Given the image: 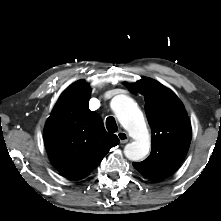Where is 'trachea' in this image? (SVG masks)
<instances>
[{"label":"trachea","mask_w":221,"mask_h":221,"mask_svg":"<svg viewBox=\"0 0 221 221\" xmlns=\"http://www.w3.org/2000/svg\"><path fill=\"white\" fill-rule=\"evenodd\" d=\"M106 128L109 132H112V133L118 130V126L116 124L114 117L110 116L106 119Z\"/></svg>","instance_id":"3493384b"}]
</instances>
